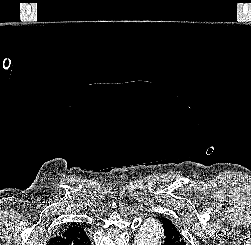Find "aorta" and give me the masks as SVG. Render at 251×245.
<instances>
[{"mask_svg": "<svg viewBox=\"0 0 251 245\" xmlns=\"http://www.w3.org/2000/svg\"><path fill=\"white\" fill-rule=\"evenodd\" d=\"M158 221L148 218L141 225L133 245H159L162 233Z\"/></svg>", "mask_w": 251, "mask_h": 245, "instance_id": "762f6f07", "label": "aorta"}]
</instances>
